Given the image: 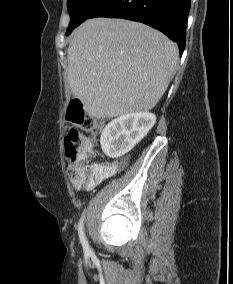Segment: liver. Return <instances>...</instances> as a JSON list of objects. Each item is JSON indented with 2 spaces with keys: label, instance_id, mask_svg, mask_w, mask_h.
Instances as JSON below:
<instances>
[{
  "label": "liver",
  "instance_id": "liver-1",
  "mask_svg": "<svg viewBox=\"0 0 233 284\" xmlns=\"http://www.w3.org/2000/svg\"><path fill=\"white\" fill-rule=\"evenodd\" d=\"M178 55L174 42L145 24L90 19L69 44L67 80L97 119L146 112L165 93Z\"/></svg>",
  "mask_w": 233,
  "mask_h": 284
}]
</instances>
